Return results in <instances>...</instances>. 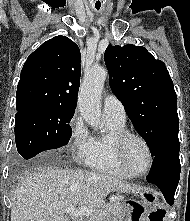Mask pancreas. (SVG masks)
Listing matches in <instances>:
<instances>
[{"label":"pancreas","mask_w":190,"mask_h":221,"mask_svg":"<svg viewBox=\"0 0 190 221\" xmlns=\"http://www.w3.org/2000/svg\"><path fill=\"white\" fill-rule=\"evenodd\" d=\"M123 204L120 202H110L95 210L89 221H118L122 217ZM111 219V220H110Z\"/></svg>","instance_id":"pancreas-1"}]
</instances>
